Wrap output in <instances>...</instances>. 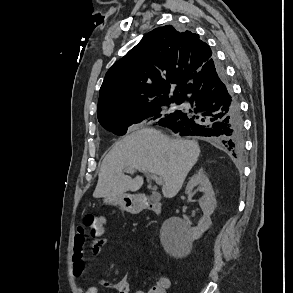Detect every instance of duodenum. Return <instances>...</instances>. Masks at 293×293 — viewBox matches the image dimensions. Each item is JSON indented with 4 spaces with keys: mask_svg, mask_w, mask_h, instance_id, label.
Wrapping results in <instances>:
<instances>
[{
    "mask_svg": "<svg viewBox=\"0 0 293 293\" xmlns=\"http://www.w3.org/2000/svg\"><path fill=\"white\" fill-rule=\"evenodd\" d=\"M138 212L151 210L157 215H161L163 207L160 201L153 199L149 195H141L136 202Z\"/></svg>",
    "mask_w": 293,
    "mask_h": 293,
    "instance_id": "1",
    "label": "duodenum"
}]
</instances>
